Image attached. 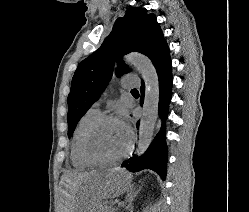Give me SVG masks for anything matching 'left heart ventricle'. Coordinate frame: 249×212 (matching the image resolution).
I'll list each match as a JSON object with an SVG mask.
<instances>
[{"mask_svg":"<svg viewBox=\"0 0 249 212\" xmlns=\"http://www.w3.org/2000/svg\"><path fill=\"white\" fill-rule=\"evenodd\" d=\"M129 140V132L123 124L105 122L92 134L89 150L97 159L110 160L126 150Z\"/></svg>","mask_w":249,"mask_h":212,"instance_id":"1","label":"left heart ventricle"}]
</instances>
